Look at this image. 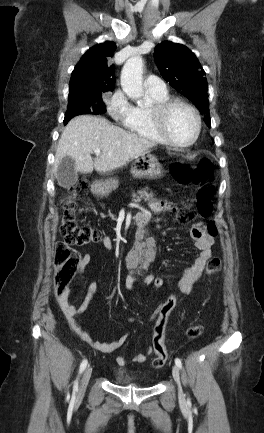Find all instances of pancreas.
Segmentation results:
<instances>
[{
	"label": "pancreas",
	"mask_w": 264,
	"mask_h": 433,
	"mask_svg": "<svg viewBox=\"0 0 264 433\" xmlns=\"http://www.w3.org/2000/svg\"><path fill=\"white\" fill-rule=\"evenodd\" d=\"M148 188L144 189V190H140L138 191L137 194H133V198L136 201H141V200H145V201H151L154 200V194L153 193H148L147 191Z\"/></svg>",
	"instance_id": "pancreas-1"
}]
</instances>
